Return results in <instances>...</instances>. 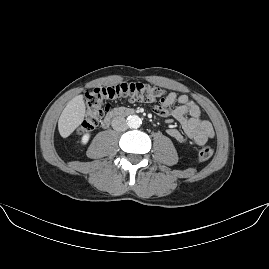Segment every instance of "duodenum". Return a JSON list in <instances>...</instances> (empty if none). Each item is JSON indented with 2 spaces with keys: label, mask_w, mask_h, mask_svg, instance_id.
<instances>
[{
  "label": "duodenum",
  "mask_w": 269,
  "mask_h": 269,
  "mask_svg": "<svg viewBox=\"0 0 269 269\" xmlns=\"http://www.w3.org/2000/svg\"><path fill=\"white\" fill-rule=\"evenodd\" d=\"M133 114H136V111L134 109L124 108V107L114 108L104 118V120L102 122V126L104 128H107L114 118L125 117V116H129V115H133Z\"/></svg>",
  "instance_id": "duodenum-1"
}]
</instances>
